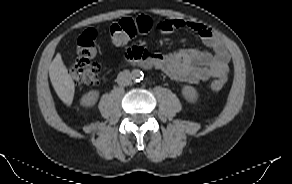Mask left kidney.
<instances>
[{
	"mask_svg": "<svg viewBox=\"0 0 292 184\" xmlns=\"http://www.w3.org/2000/svg\"><path fill=\"white\" fill-rule=\"evenodd\" d=\"M182 95L188 102H191V103L196 102L198 99V93L196 89L192 86H188V85L184 86L182 88Z\"/></svg>",
	"mask_w": 292,
	"mask_h": 184,
	"instance_id": "5707ae66",
	"label": "left kidney"
}]
</instances>
